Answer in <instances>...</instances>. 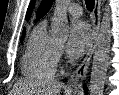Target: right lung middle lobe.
<instances>
[{
  "label": "right lung middle lobe",
  "mask_w": 119,
  "mask_h": 95,
  "mask_svg": "<svg viewBox=\"0 0 119 95\" xmlns=\"http://www.w3.org/2000/svg\"><path fill=\"white\" fill-rule=\"evenodd\" d=\"M24 35H25V33H23V35H22V37H21V41L23 40V38H24Z\"/></svg>",
  "instance_id": "obj_1"
}]
</instances>
